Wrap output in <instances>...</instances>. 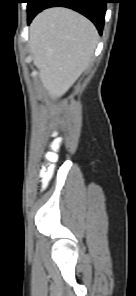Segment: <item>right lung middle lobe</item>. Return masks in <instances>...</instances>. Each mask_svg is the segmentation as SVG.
<instances>
[{
    "mask_svg": "<svg viewBox=\"0 0 136 296\" xmlns=\"http://www.w3.org/2000/svg\"><path fill=\"white\" fill-rule=\"evenodd\" d=\"M34 0H28V8L31 6V2Z\"/></svg>",
    "mask_w": 136,
    "mask_h": 296,
    "instance_id": "dd1d6c3e",
    "label": "right lung middle lobe"
}]
</instances>
